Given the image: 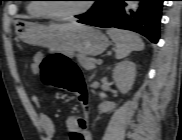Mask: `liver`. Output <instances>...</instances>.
Here are the masks:
<instances>
[{
  "mask_svg": "<svg viewBox=\"0 0 182 140\" xmlns=\"http://www.w3.org/2000/svg\"><path fill=\"white\" fill-rule=\"evenodd\" d=\"M80 26H82V25L77 23V22H72V23H66V24H60V25L53 24L47 28H50V29H71V28L80 27Z\"/></svg>",
  "mask_w": 182,
  "mask_h": 140,
  "instance_id": "6515ba94",
  "label": "liver"
}]
</instances>
